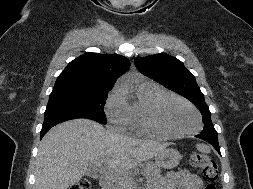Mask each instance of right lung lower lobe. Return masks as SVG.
I'll return each instance as SVG.
<instances>
[{"mask_svg": "<svg viewBox=\"0 0 253 189\" xmlns=\"http://www.w3.org/2000/svg\"><path fill=\"white\" fill-rule=\"evenodd\" d=\"M68 119H71V118H58V119H51V120L44 121L40 138H42L53 126Z\"/></svg>", "mask_w": 253, "mask_h": 189, "instance_id": "1", "label": "right lung lower lobe"}]
</instances>
